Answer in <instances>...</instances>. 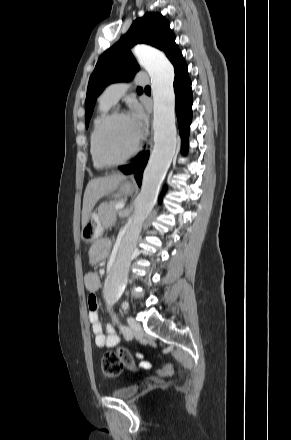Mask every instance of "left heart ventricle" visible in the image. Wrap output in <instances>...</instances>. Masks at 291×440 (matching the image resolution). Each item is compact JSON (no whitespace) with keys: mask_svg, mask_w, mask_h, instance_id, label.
<instances>
[{"mask_svg":"<svg viewBox=\"0 0 291 440\" xmlns=\"http://www.w3.org/2000/svg\"><path fill=\"white\" fill-rule=\"evenodd\" d=\"M137 138L128 117L116 118L102 133L101 150L108 158L121 159L134 147Z\"/></svg>","mask_w":291,"mask_h":440,"instance_id":"left-heart-ventricle-1","label":"left heart ventricle"}]
</instances>
